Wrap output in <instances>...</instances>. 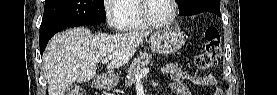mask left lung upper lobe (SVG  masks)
<instances>
[{"instance_id":"left-lung-upper-lobe-1","label":"left lung upper lobe","mask_w":277,"mask_h":95,"mask_svg":"<svg viewBox=\"0 0 277 95\" xmlns=\"http://www.w3.org/2000/svg\"><path fill=\"white\" fill-rule=\"evenodd\" d=\"M176 2L181 16H190L200 12H212L221 16L219 0H176Z\"/></svg>"}]
</instances>
